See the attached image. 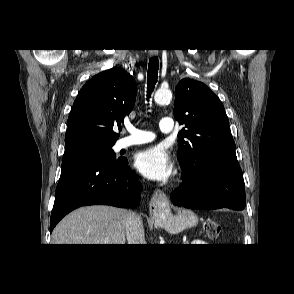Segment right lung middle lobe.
I'll list each match as a JSON object with an SVG mask.
<instances>
[{"mask_svg": "<svg viewBox=\"0 0 294 294\" xmlns=\"http://www.w3.org/2000/svg\"><path fill=\"white\" fill-rule=\"evenodd\" d=\"M115 142H107L93 139L77 140L65 144V152L62 158V163L83 157H100L110 162L123 160L116 159V155L112 150Z\"/></svg>", "mask_w": 294, "mask_h": 294, "instance_id": "1", "label": "right lung middle lobe"}]
</instances>
